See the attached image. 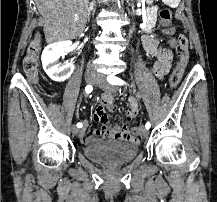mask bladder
<instances>
[{
	"label": "bladder",
	"mask_w": 217,
	"mask_h": 202,
	"mask_svg": "<svg viewBox=\"0 0 217 202\" xmlns=\"http://www.w3.org/2000/svg\"><path fill=\"white\" fill-rule=\"evenodd\" d=\"M86 157L97 160L104 165H115L130 162L137 156L138 143L106 141L84 147Z\"/></svg>",
	"instance_id": "31cf9c89"
}]
</instances>
